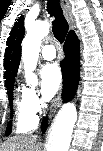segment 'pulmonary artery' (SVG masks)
I'll list each match as a JSON object with an SVG mask.
<instances>
[{"mask_svg": "<svg viewBox=\"0 0 103 151\" xmlns=\"http://www.w3.org/2000/svg\"><path fill=\"white\" fill-rule=\"evenodd\" d=\"M42 56L45 60H53L56 57V49L54 45H45L42 49Z\"/></svg>", "mask_w": 103, "mask_h": 151, "instance_id": "obj_1", "label": "pulmonary artery"}]
</instances>
